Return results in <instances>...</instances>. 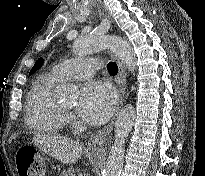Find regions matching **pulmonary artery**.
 Returning <instances> with one entry per match:
<instances>
[{
    "mask_svg": "<svg viewBox=\"0 0 205 176\" xmlns=\"http://www.w3.org/2000/svg\"><path fill=\"white\" fill-rule=\"evenodd\" d=\"M99 59L72 58L59 62L52 72L62 80L84 79L91 77L97 70Z\"/></svg>",
    "mask_w": 205,
    "mask_h": 176,
    "instance_id": "e3ab8cb5",
    "label": "pulmonary artery"
}]
</instances>
